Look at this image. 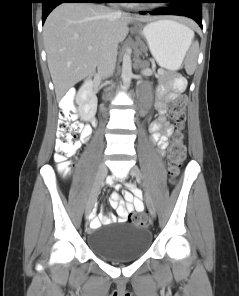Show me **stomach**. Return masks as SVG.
Listing matches in <instances>:
<instances>
[{
    "mask_svg": "<svg viewBox=\"0 0 239 296\" xmlns=\"http://www.w3.org/2000/svg\"><path fill=\"white\" fill-rule=\"evenodd\" d=\"M187 28L170 19H159L136 27L146 39L158 65L169 71L177 70L183 62L190 44Z\"/></svg>",
    "mask_w": 239,
    "mask_h": 296,
    "instance_id": "1",
    "label": "stomach"
}]
</instances>
